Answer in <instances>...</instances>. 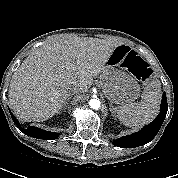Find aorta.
I'll return each mask as SVG.
<instances>
[{"label":"aorta","instance_id":"obj_1","mask_svg":"<svg viewBox=\"0 0 178 178\" xmlns=\"http://www.w3.org/2000/svg\"><path fill=\"white\" fill-rule=\"evenodd\" d=\"M89 105L92 109H99L100 108V100L98 98H92L89 101Z\"/></svg>","mask_w":178,"mask_h":178}]
</instances>
